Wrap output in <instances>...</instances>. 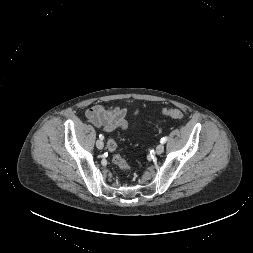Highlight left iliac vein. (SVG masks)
I'll return each instance as SVG.
<instances>
[{"label":"left iliac vein","instance_id":"4c4485c4","mask_svg":"<svg viewBox=\"0 0 253 253\" xmlns=\"http://www.w3.org/2000/svg\"><path fill=\"white\" fill-rule=\"evenodd\" d=\"M164 151V145L162 143L158 144L156 147V154H162Z\"/></svg>","mask_w":253,"mask_h":253}]
</instances>
